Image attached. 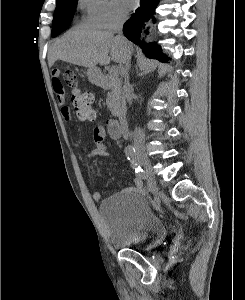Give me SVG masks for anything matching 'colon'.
I'll return each mask as SVG.
<instances>
[{"mask_svg":"<svg viewBox=\"0 0 245 300\" xmlns=\"http://www.w3.org/2000/svg\"><path fill=\"white\" fill-rule=\"evenodd\" d=\"M54 73L72 89V104L78 119L93 120L95 114L92 94L79 87L76 74L71 70H56Z\"/></svg>","mask_w":245,"mask_h":300,"instance_id":"obj_1","label":"colon"}]
</instances>
